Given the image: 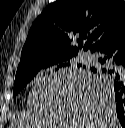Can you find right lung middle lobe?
I'll list each match as a JSON object with an SVG mask.
<instances>
[{"instance_id": "right-lung-middle-lobe-1", "label": "right lung middle lobe", "mask_w": 125, "mask_h": 128, "mask_svg": "<svg viewBox=\"0 0 125 128\" xmlns=\"http://www.w3.org/2000/svg\"><path fill=\"white\" fill-rule=\"evenodd\" d=\"M70 59H60L53 58L41 62L34 63L24 69L18 70L15 76L14 88H13V96H16L33 78L34 76L41 70L46 69L52 66L59 65L57 69L60 67H65L67 64H62L63 62H67ZM98 78L105 79L107 81V77L104 73H98Z\"/></svg>"}]
</instances>
